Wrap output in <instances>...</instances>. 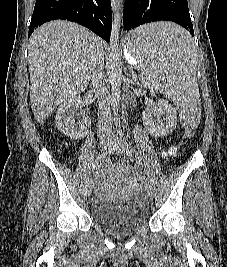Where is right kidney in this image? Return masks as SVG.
<instances>
[{
    "instance_id": "obj_1",
    "label": "right kidney",
    "mask_w": 227,
    "mask_h": 267,
    "mask_svg": "<svg viewBox=\"0 0 227 267\" xmlns=\"http://www.w3.org/2000/svg\"><path fill=\"white\" fill-rule=\"evenodd\" d=\"M82 104L79 96H73L62 102L56 112L55 123L57 128L70 139L84 138L91 125V119L88 116L81 120L75 119V111Z\"/></svg>"
}]
</instances>
